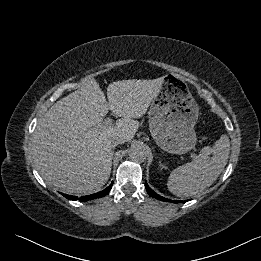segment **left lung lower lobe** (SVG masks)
<instances>
[{
	"instance_id": "0a47b994",
	"label": "left lung lower lobe",
	"mask_w": 261,
	"mask_h": 261,
	"mask_svg": "<svg viewBox=\"0 0 261 261\" xmlns=\"http://www.w3.org/2000/svg\"><path fill=\"white\" fill-rule=\"evenodd\" d=\"M145 188L148 192V194L153 197V198H156V199H159L161 201H166V202H172V203H180L182 201H176V200H170V199H167V198H164L160 195H158L157 193H155L147 184V182H145Z\"/></svg>"
}]
</instances>
